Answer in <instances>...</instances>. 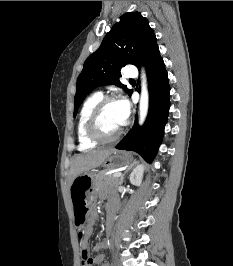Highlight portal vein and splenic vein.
Masks as SVG:
<instances>
[{"label":"portal vein and splenic vein","instance_id":"1","mask_svg":"<svg viewBox=\"0 0 233 266\" xmlns=\"http://www.w3.org/2000/svg\"><path fill=\"white\" fill-rule=\"evenodd\" d=\"M121 175H122L121 172H116V173L113 174V177H120Z\"/></svg>","mask_w":233,"mask_h":266}]
</instances>
